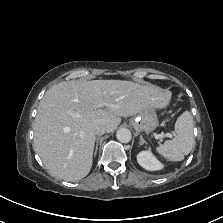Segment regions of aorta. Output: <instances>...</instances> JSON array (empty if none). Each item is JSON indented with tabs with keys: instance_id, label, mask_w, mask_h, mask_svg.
Masks as SVG:
<instances>
[{
	"instance_id": "obj_1",
	"label": "aorta",
	"mask_w": 223,
	"mask_h": 223,
	"mask_svg": "<svg viewBox=\"0 0 223 223\" xmlns=\"http://www.w3.org/2000/svg\"><path fill=\"white\" fill-rule=\"evenodd\" d=\"M116 138L121 143H128L132 139L131 131L127 128H120L117 130Z\"/></svg>"
}]
</instances>
